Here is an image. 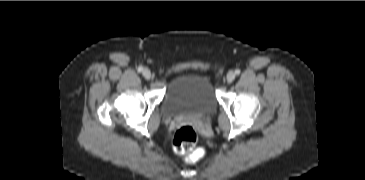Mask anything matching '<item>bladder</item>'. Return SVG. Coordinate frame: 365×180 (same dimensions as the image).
Wrapping results in <instances>:
<instances>
[{"instance_id":"bladder-1","label":"bladder","mask_w":365,"mask_h":180,"mask_svg":"<svg viewBox=\"0 0 365 180\" xmlns=\"http://www.w3.org/2000/svg\"><path fill=\"white\" fill-rule=\"evenodd\" d=\"M217 104L210 79L202 73L185 72L177 75L167 87L162 115L167 118L205 115L213 112Z\"/></svg>"}]
</instances>
